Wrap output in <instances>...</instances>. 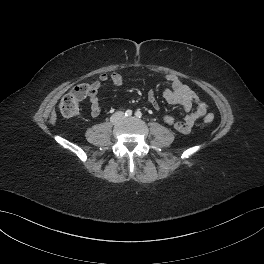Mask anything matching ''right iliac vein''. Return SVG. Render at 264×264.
I'll return each mask as SVG.
<instances>
[{
    "label": "right iliac vein",
    "instance_id": "right-iliac-vein-1",
    "mask_svg": "<svg viewBox=\"0 0 264 264\" xmlns=\"http://www.w3.org/2000/svg\"><path fill=\"white\" fill-rule=\"evenodd\" d=\"M120 117H121V114H118V115H117V118H120Z\"/></svg>",
    "mask_w": 264,
    "mask_h": 264
}]
</instances>
